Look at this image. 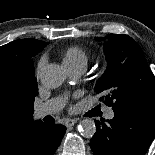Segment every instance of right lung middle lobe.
I'll return each instance as SVG.
<instances>
[{
    "mask_svg": "<svg viewBox=\"0 0 155 155\" xmlns=\"http://www.w3.org/2000/svg\"><path fill=\"white\" fill-rule=\"evenodd\" d=\"M37 95L32 60L23 63L12 78L0 79V140L11 141L20 136Z\"/></svg>",
    "mask_w": 155,
    "mask_h": 155,
    "instance_id": "obj_1",
    "label": "right lung middle lobe"
}]
</instances>
